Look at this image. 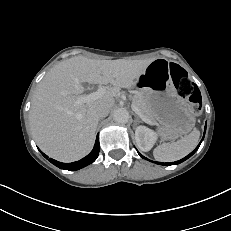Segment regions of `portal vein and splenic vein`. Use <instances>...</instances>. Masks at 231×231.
<instances>
[{"instance_id":"18ae733b","label":"portal vein and splenic vein","mask_w":231,"mask_h":231,"mask_svg":"<svg viewBox=\"0 0 231 231\" xmlns=\"http://www.w3.org/2000/svg\"><path fill=\"white\" fill-rule=\"evenodd\" d=\"M106 92V89L104 87H100L98 88V90L96 92H93L89 95L86 96H79L78 98L75 99V103L76 104H81V103H88L91 102L93 100H97L99 98H101ZM133 109L135 111V113L146 123H150L153 124L150 120H148L141 112L140 110L137 108L136 105H132Z\"/></svg>"}]
</instances>
